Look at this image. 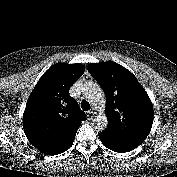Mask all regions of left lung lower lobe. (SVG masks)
<instances>
[{"label": "left lung lower lobe", "mask_w": 177, "mask_h": 177, "mask_svg": "<svg viewBox=\"0 0 177 177\" xmlns=\"http://www.w3.org/2000/svg\"><path fill=\"white\" fill-rule=\"evenodd\" d=\"M103 145H105L107 148L113 150V151H116V152H128L132 149H134L133 147H126V146H123L122 143H118V142H114V141H106V140H101Z\"/></svg>", "instance_id": "obj_1"}]
</instances>
